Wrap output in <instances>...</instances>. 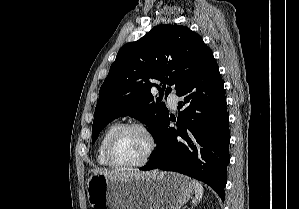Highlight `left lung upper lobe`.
<instances>
[{"label": "left lung upper lobe", "instance_id": "1", "mask_svg": "<svg viewBox=\"0 0 299 209\" xmlns=\"http://www.w3.org/2000/svg\"><path fill=\"white\" fill-rule=\"evenodd\" d=\"M211 58L213 53L202 38L179 25H157L139 40L125 44L100 88L92 143L108 123L126 115L146 124L155 137L168 109L161 98L152 96L151 89L156 87L166 98L171 87L180 89Z\"/></svg>", "mask_w": 299, "mask_h": 209}]
</instances>
